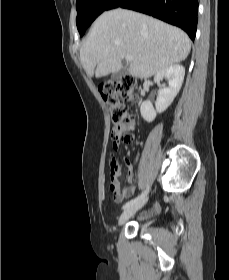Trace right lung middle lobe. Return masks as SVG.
I'll return each instance as SVG.
<instances>
[{
  "instance_id": "1",
  "label": "right lung middle lobe",
  "mask_w": 229,
  "mask_h": 280,
  "mask_svg": "<svg viewBox=\"0 0 229 280\" xmlns=\"http://www.w3.org/2000/svg\"><path fill=\"white\" fill-rule=\"evenodd\" d=\"M115 0H76V24L80 36H83L88 26L105 10H108Z\"/></svg>"
}]
</instances>
